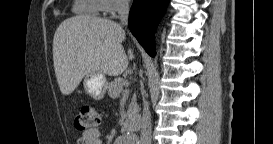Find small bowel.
<instances>
[{"label": "small bowel", "instance_id": "1", "mask_svg": "<svg viewBox=\"0 0 273 144\" xmlns=\"http://www.w3.org/2000/svg\"><path fill=\"white\" fill-rule=\"evenodd\" d=\"M102 135L99 129L84 131L75 141V144H102Z\"/></svg>", "mask_w": 273, "mask_h": 144}]
</instances>
